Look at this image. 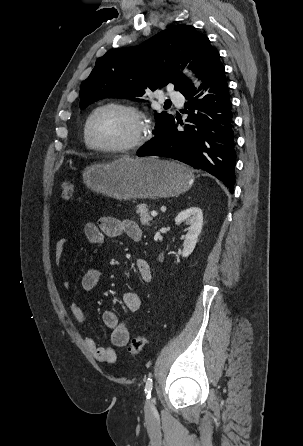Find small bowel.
<instances>
[{
    "label": "small bowel",
    "mask_w": 303,
    "mask_h": 446,
    "mask_svg": "<svg viewBox=\"0 0 303 446\" xmlns=\"http://www.w3.org/2000/svg\"><path fill=\"white\" fill-rule=\"evenodd\" d=\"M84 234L87 241L94 245H100L106 238L116 239L126 236L131 240L138 241L141 239L142 232L139 225L132 220H121L115 217L105 216L99 219L97 223H87L84 227ZM70 239L63 237L55 244L54 256L57 264H60ZM136 270L143 282H150L152 272L148 262L142 258L137 259ZM100 281V271L96 267L88 268L82 278L81 286L85 291L94 290ZM64 286L68 288L69 282H64ZM124 306L129 312H137L141 308V298L135 291H127L122 296ZM71 312L79 326L86 323L85 312L77 304L71 305ZM104 325L111 330V342L115 347H124L130 338L128 325L121 321L118 314L114 311H105L102 315ZM85 343L94 358L100 362L115 363L117 354L112 347H102L97 344L95 339L87 337Z\"/></svg>",
    "instance_id": "c3829d8e"
}]
</instances>
